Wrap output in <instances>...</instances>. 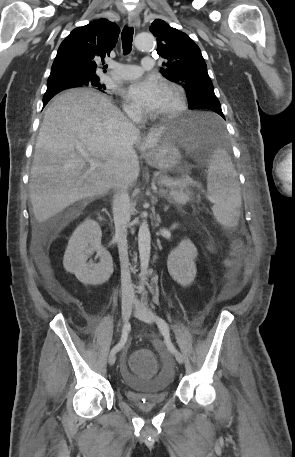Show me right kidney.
Listing matches in <instances>:
<instances>
[{
    "label": "right kidney",
    "instance_id": "ca27d5eb",
    "mask_svg": "<svg viewBox=\"0 0 295 457\" xmlns=\"http://www.w3.org/2000/svg\"><path fill=\"white\" fill-rule=\"evenodd\" d=\"M99 220L102 218L99 217ZM101 237L98 222L87 219L76 228L68 242L63 259L64 268L85 285H101L113 273L112 257L102 247ZM94 252H97L100 262L87 263L88 256Z\"/></svg>",
    "mask_w": 295,
    "mask_h": 457
}]
</instances>
